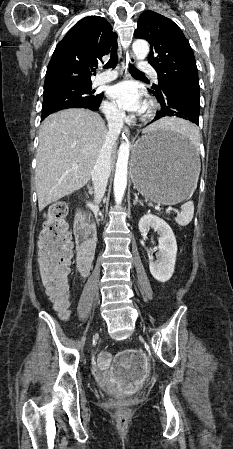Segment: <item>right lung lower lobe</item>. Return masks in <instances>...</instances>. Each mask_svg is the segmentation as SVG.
I'll list each match as a JSON object with an SVG mask.
<instances>
[{
	"instance_id": "right-lung-lower-lobe-1",
	"label": "right lung lower lobe",
	"mask_w": 233,
	"mask_h": 449,
	"mask_svg": "<svg viewBox=\"0 0 233 449\" xmlns=\"http://www.w3.org/2000/svg\"><path fill=\"white\" fill-rule=\"evenodd\" d=\"M102 100V99H101ZM101 100L98 102V104L95 106V107H93V108H89L90 110H93V111H98L99 109V104H100V102H101ZM70 108H88V107H84V106H73V107H70ZM49 114H47V115H42L41 116V121H43L47 116H48Z\"/></svg>"
}]
</instances>
